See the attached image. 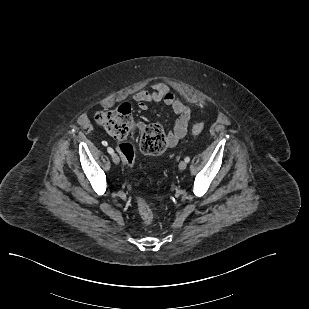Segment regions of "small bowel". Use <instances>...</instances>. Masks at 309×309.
<instances>
[{
  "instance_id": "c3829d8e",
  "label": "small bowel",
  "mask_w": 309,
  "mask_h": 309,
  "mask_svg": "<svg viewBox=\"0 0 309 309\" xmlns=\"http://www.w3.org/2000/svg\"><path fill=\"white\" fill-rule=\"evenodd\" d=\"M140 110L148 109L149 103L162 102L170 107L177 116L173 129L167 135V144L174 147L179 140L186 136L191 118V110L177 95L163 82H154L149 89H142L133 95Z\"/></svg>"
}]
</instances>
